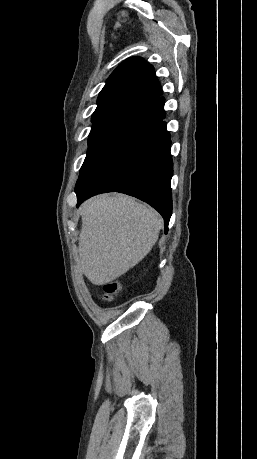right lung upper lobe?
<instances>
[{"mask_svg":"<svg viewBox=\"0 0 257 459\" xmlns=\"http://www.w3.org/2000/svg\"><path fill=\"white\" fill-rule=\"evenodd\" d=\"M154 68L140 57L125 60L110 75L99 94L94 113L122 109L139 113L162 97Z\"/></svg>","mask_w":257,"mask_h":459,"instance_id":"1","label":"right lung upper lobe"}]
</instances>
